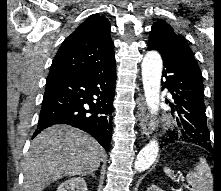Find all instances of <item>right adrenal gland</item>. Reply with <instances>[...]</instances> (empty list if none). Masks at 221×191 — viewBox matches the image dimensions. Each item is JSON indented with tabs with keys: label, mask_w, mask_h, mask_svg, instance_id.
<instances>
[{
	"label": "right adrenal gland",
	"mask_w": 221,
	"mask_h": 191,
	"mask_svg": "<svg viewBox=\"0 0 221 191\" xmlns=\"http://www.w3.org/2000/svg\"><path fill=\"white\" fill-rule=\"evenodd\" d=\"M89 175H91L93 178H96V176H95V173H94V172L90 173Z\"/></svg>",
	"instance_id": "obj_1"
}]
</instances>
